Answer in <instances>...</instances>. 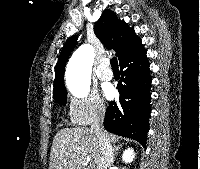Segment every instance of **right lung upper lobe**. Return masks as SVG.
Masks as SVG:
<instances>
[{
    "label": "right lung upper lobe",
    "mask_w": 200,
    "mask_h": 169,
    "mask_svg": "<svg viewBox=\"0 0 200 169\" xmlns=\"http://www.w3.org/2000/svg\"><path fill=\"white\" fill-rule=\"evenodd\" d=\"M94 32L107 48L116 52L119 64L145 51L141 39L136 36L134 30L129 28L124 21H120L110 9L105 10L95 23ZM76 42V36L70 37L61 51L56 65L53 94L66 92L63 73L66 61Z\"/></svg>",
    "instance_id": "cb5924a9"
}]
</instances>
